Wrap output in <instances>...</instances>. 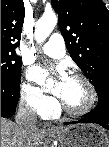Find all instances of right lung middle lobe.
<instances>
[{
  "label": "right lung middle lobe",
  "instance_id": "obj_1",
  "mask_svg": "<svg viewBox=\"0 0 109 147\" xmlns=\"http://www.w3.org/2000/svg\"><path fill=\"white\" fill-rule=\"evenodd\" d=\"M21 60L15 51L1 48V81L20 83Z\"/></svg>",
  "mask_w": 109,
  "mask_h": 147
}]
</instances>
